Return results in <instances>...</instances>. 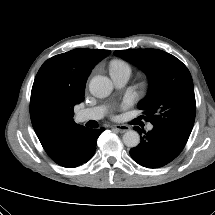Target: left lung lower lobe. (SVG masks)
Instances as JSON below:
<instances>
[{"label":"left lung lower lobe","mask_w":215,"mask_h":215,"mask_svg":"<svg viewBox=\"0 0 215 215\" xmlns=\"http://www.w3.org/2000/svg\"><path fill=\"white\" fill-rule=\"evenodd\" d=\"M149 132L134 127L141 135V142L130 150L132 159L147 168L162 167L175 159L186 145L185 140L165 128L153 125Z\"/></svg>","instance_id":"obj_1"}]
</instances>
